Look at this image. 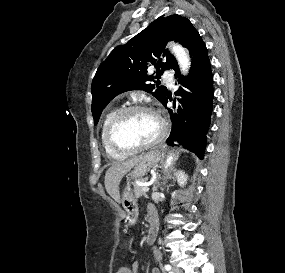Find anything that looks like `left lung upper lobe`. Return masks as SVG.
I'll return each mask as SVG.
<instances>
[{
    "label": "left lung upper lobe",
    "mask_w": 285,
    "mask_h": 273,
    "mask_svg": "<svg viewBox=\"0 0 285 273\" xmlns=\"http://www.w3.org/2000/svg\"><path fill=\"white\" fill-rule=\"evenodd\" d=\"M196 29L185 17L174 14L157 18L151 25L129 40L116 47L101 64L92 81V114L94 124L107 104L117 95L130 90H145L162 102L167 89L149 84L154 77L146 75L150 65L157 69V76L165 69H173L175 57L165 49L170 40L187 47ZM156 89V90H154Z\"/></svg>",
    "instance_id": "obj_1"
}]
</instances>
